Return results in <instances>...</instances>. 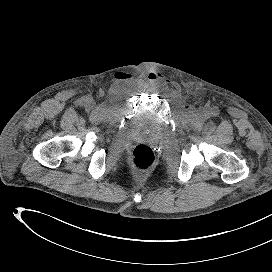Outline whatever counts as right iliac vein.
I'll return each mask as SVG.
<instances>
[{
    "label": "right iliac vein",
    "instance_id": "63e3f726",
    "mask_svg": "<svg viewBox=\"0 0 272 272\" xmlns=\"http://www.w3.org/2000/svg\"><path fill=\"white\" fill-rule=\"evenodd\" d=\"M87 105H88V106H92V105H93V100L88 99V100H87Z\"/></svg>",
    "mask_w": 272,
    "mask_h": 272
}]
</instances>
